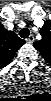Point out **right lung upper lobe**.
<instances>
[{
    "label": "right lung upper lobe",
    "mask_w": 51,
    "mask_h": 101,
    "mask_svg": "<svg viewBox=\"0 0 51 101\" xmlns=\"http://www.w3.org/2000/svg\"><path fill=\"white\" fill-rule=\"evenodd\" d=\"M25 43L13 31H8L0 25V68L8 65L17 50Z\"/></svg>",
    "instance_id": "cb5924a9"
}]
</instances>
